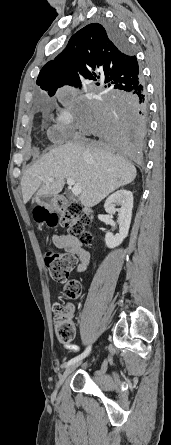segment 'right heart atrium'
I'll use <instances>...</instances> for the list:
<instances>
[{
	"mask_svg": "<svg viewBox=\"0 0 171 445\" xmlns=\"http://www.w3.org/2000/svg\"><path fill=\"white\" fill-rule=\"evenodd\" d=\"M73 121L74 115L68 106H64L60 109L54 118V125L51 133L52 139L60 140L64 138L71 129Z\"/></svg>",
	"mask_w": 171,
	"mask_h": 445,
	"instance_id": "1",
	"label": "right heart atrium"
}]
</instances>
